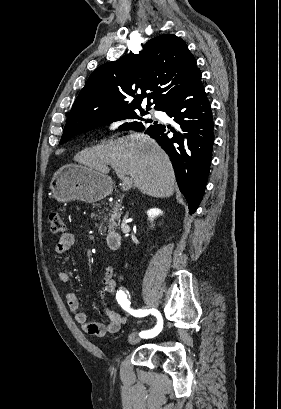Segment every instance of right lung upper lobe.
I'll return each instance as SVG.
<instances>
[{
    "mask_svg": "<svg viewBox=\"0 0 281 409\" xmlns=\"http://www.w3.org/2000/svg\"><path fill=\"white\" fill-rule=\"evenodd\" d=\"M197 72L196 59L181 38L173 34L157 36L138 55L130 53L98 67L79 93L65 128L84 127L123 112L143 111L142 98L147 90L153 91L149 98L154 100V109L160 110ZM151 105L148 101L146 110Z\"/></svg>",
    "mask_w": 281,
    "mask_h": 409,
    "instance_id": "obj_1",
    "label": "right lung upper lobe"
}]
</instances>
